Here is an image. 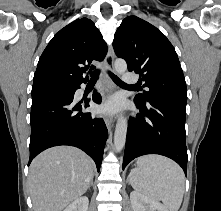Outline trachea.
Here are the masks:
<instances>
[{"label":"trachea","mask_w":221,"mask_h":211,"mask_svg":"<svg viewBox=\"0 0 221 211\" xmlns=\"http://www.w3.org/2000/svg\"><path fill=\"white\" fill-rule=\"evenodd\" d=\"M98 75H99V71H95L93 73H91V79L90 82H96L98 79ZM110 77L112 78V80L117 84V85H123V86H134V85H128L126 83H124L121 79H119L116 75H114L113 73H109Z\"/></svg>","instance_id":"trachea-1"}]
</instances>
